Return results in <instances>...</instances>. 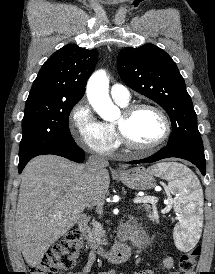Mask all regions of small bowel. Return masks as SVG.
<instances>
[{"mask_svg":"<svg viewBox=\"0 0 215 274\" xmlns=\"http://www.w3.org/2000/svg\"><path fill=\"white\" fill-rule=\"evenodd\" d=\"M95 260H96L95 253L93 251H90L88 254L87 262L84 265L83 269L80 272H77L75 274H88L91 271ZM162 265H163L164 269L170 270L174 266L173 257L166 256L163 259ZM98 274H117V273L113 270H109V271L99 272ZM120 274H122V273H120ZM134 274H153V271L152 270H143V271L135 272ZM168 274H179V273L178 272H169Z\"/></svg>","mask_w":215,"mask_h":274,"instance_id":"c3829d8e","label":"small bowel"}]
</instances>
